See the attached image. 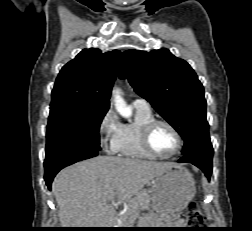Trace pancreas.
Masks as SVG:
<instances>
[{
    "instance_id": "cf45deb5",
    "label": "pancreas",
    "mask_w": 252,
    "mask_h": 231,
    "mask_svg": "<svg viewBox=\"0 0 252 231\" xmlns=\"http://www.w3.org/2000/svg\"><path fill=\"white\" fill-rule=\"evenodd\" d=\"M150 195L148 190L140 191L135 198L131 200V206H141L148 207L150 205ZM129 215L125 214L121 217L122 225H126L128 223Z\"/></svg>"
}]
</instances>
